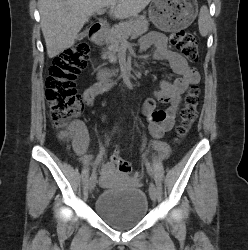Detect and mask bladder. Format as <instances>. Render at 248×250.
I'll return each instance as SVG.
<instances>
[{
	"instance_id": "31cf9c89",
	"label": "bladder",
	"mask_w": 248,
	"mask_h": 250,
	"mask_svg": "<svg viewBox=\"0 0 248 250\" xmlns=\"http://www.w3.org/2000/svg\"><path fill=\"white\" fill-rule=\"evenodd\" d=\"M145 193L136 187L116 186L103 190L95 201V212L108 225L126 230L138 225L148 213Z\"/></svg>"
}]
</instances>
